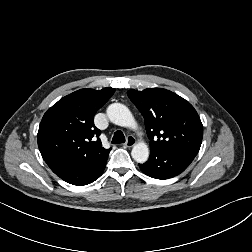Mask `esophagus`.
Returning <instances> with one entry per match:
<instances>
[{
  "label": "esophagus",
  "instance_id": "esophagus-1",
  "mask_svg": "<svg viewBox=\"0 0 252 252\" xmlns=\"http://www.w3.org/2000/svg\"><path fill=\"white\" fill-rule=\"evenodd\" d=\"M136 144V139L134 136L130 135L127 137V141L126 143L124 144L125 147L127 148H131L133 147L134 145Z\"/></svg>",
  "mask_w": 252,
  "mask_h": 252
}]
</instances>
